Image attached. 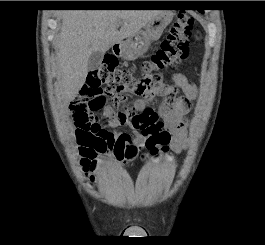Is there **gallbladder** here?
Listing matches in <instances>:
<instances>
[{
	"mask_svg": "<svg viewBox=\"0 0 265 245\" xmlns=\"http://www.w3.org/2000/svg\"><path fill=\"white\" fill-rule=\"evenodd\" d=\"M103 55L104 53L100 51H94L91 53L88 59V70L89 71H94L100 66L103 60Z\"/></svg>",
	"mask_w": 265,
	"mask_h": 245,
	"instance_id": "bac80fb5",
	"label": "gallbladder"
}]
</instances>
